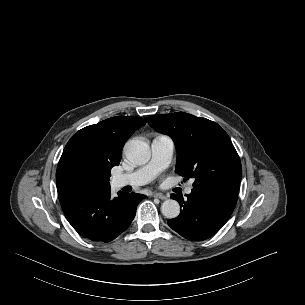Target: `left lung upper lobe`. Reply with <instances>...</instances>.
<instances>
[{
  "label": "left lung upper lobe",
  "mask_w": 305,
  "mask_h": 305,
  "mask_svg": "<svg viewBox=\"0 0 305 305\" xmlns=\"http://www.w3.org/2000/svg\"><path fill=\"white\" fill-rule=\"evenodd\" d=\"M148 123L176 144V172L194 178V188L241 182L239 156L227 133L215 122L188 113L152 115Z\"/></svg>",
  "instance_id": "5c2ea615"
}]
</instances>
